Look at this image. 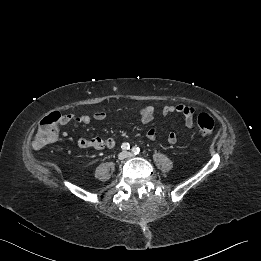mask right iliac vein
<instances>
[{"label":"right iliac vein","instance_id":"1","mask_svg":"<svg viewBox=\"0 0 261 261\" xmlns=\"http://www.w3.org/2000/svg\"><path fill=\"white\" fill-rule=\"evenodd\" d=\"M125 158H126V153H124V152L119 153V155H118L119 160H123Z\"/></svg>","mask_w":261,"mask_h":261}]
</instances>
